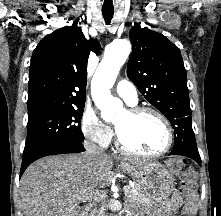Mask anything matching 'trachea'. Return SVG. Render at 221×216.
<instances>
[{
  "label": "trachea",
  "mask_w": 221,
  "mask_h": 216,
  "mask_svg": "<svg viewBox=\"0 0 221 216\" xmlns=\"http://www.w3.org/2000/svg\"><path fill=\"white\" fill-rule=\"evenodd\" d=\"M102 14H103L106 24H110L111 19L114 14V10H102Z\"/></svg>",
  "instance_id": "obj_1"
}]
</instances>
